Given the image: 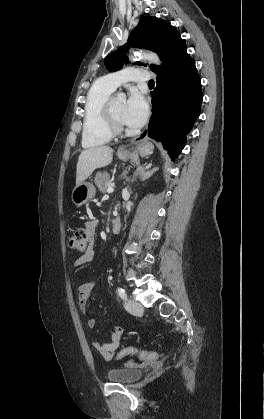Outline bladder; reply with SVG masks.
Masks as SVG:
<instances>
[{
    "label": "bladder",
    "mask_w": 264,
    "mask_h": 419,
    "mask_svg": "<svg viewBox=\"0 0 264 419\" xmlns=\"http://www.w3.org/2000/svg\"><path fill=\"white\" fill-rule=\"evenodd\" d=\"M142 375L143 370L133 365L113 368L107 372V378L109 381L120 384L134 383L138 381Z\"/></svg>",
    "instance_id": "31cf9c89"
}]
</instances>
